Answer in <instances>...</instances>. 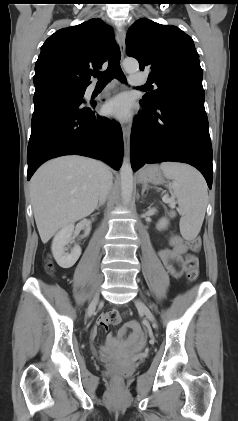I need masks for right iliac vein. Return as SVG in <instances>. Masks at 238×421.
<instances>
[{"label": "right iliac vein", "instance_id": "63e3f726", "mask_svg": "<svg viewBox=\"0 0 238 421\" xmlns=\"http://www.w3.org/2000/svg\"><path fill=\"white\" fill-rule=\"evenodd\" d=\"M98 301H99V294L96 293V295L94 296L93 300L91 301L88 307V311H87L88 315H91L95 311Z\"/></svg>", "mask_w": 238, "mask_h": 421}]
</instances>
